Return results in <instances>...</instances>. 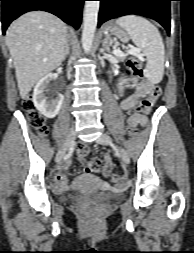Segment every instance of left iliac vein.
Returning <instances> with one entry per match:
<instances>
[{"mask_svg":"<svg viewBox=\"0 0 194 253\" xmlns=\"http://www.w3.org/2000/svg\"><path fill=\"white\" fill-rule=\"evenodd\" d=\"M97 143L102 145H112L110 136L105 133L100 135V137L97 139ZM116 150L121 158L123 165L129 164L130 158L128 153L122 147L116 146Z\"/></svg>","mask_w":194,"mask_h":253,"instance_id":"obj_1","label":"left iliac vein"}]
</instances>
